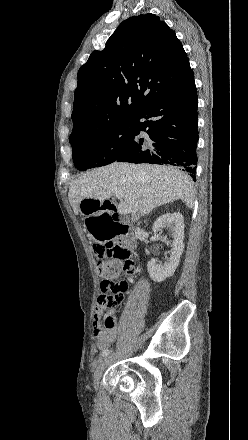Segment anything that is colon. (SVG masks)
<instances>
[{"label":"colon","mask_w":248,"mask_h":440,"mask_svg":"<svg viewBox=\"0 0 248 440\" xmlns=\"http://www.w3.org/2000/svg\"><path fill=\"white\" fill-rule=\"evenodd\" d=\"M95 256L100 260L98 268L104 277L101 283V292L97 297V307L113 309L119 305L129 289L128 281L119 279L120 273L130 276L135 273V262L132 252L118 242L108 241L107 246H94ZM116 323L113 316L105 319V325L113 326Z\"/></svg>","instance_id":"colon-1"}]
</instances>
